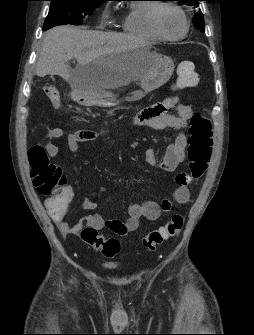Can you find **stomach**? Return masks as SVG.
Listing matches in <instances>:
<instances>
[{"label":"stomach","mask_w":254,"mask_h":335,"mask_svg":"<svg viewBox=\"0 0 254 335\" xmlns=\"http://www.w3.org/2000/svg\"><path fill=\"white\" fill-rule=\"evenodd\" d=\"M134 55H152L151 68L139 79L141 89L133 91L129 96L125 97L127 101H137L143 98L147 93L164 85L171 77L174 71V62L170 57L149 52L147 47H138L131 49L121 57H131ZM102 61H94L87 67H99ZM74 101L84 106H100L112 107L120 103L118 96L102 91L100 89L88 86L86 88H74L72 92Z\"/></svg>","instance_id":"0dacf381"}]
</instances>
